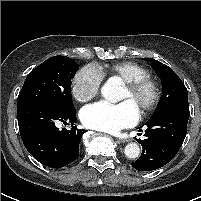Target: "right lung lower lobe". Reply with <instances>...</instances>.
Returning a JSON list of instances; mask_svg holds the SVG:
<instances>
[{"instance_id": "98d812e1", "label": "right lung lower lobe", "mask_w": 201, "mask_h": 201, "mask_svg": "<svg viewBox=\"0 0 201 201\" xmlns=\"http://www.w3.org/2000/svg\"><path fill=\"white\" fill-rule=\"evenodd\" d=\"M76 122V112L62 111L49 103L36 102L18 109L20 135L27 151L40 163L60 168L78 158L79 142L86 132L71 126L59 130L56 123Z\"/></svg>"}]
</instances>
